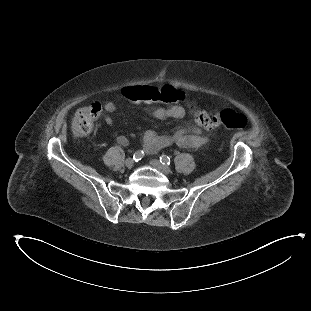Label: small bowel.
<instances>
[{"instance_id":"obj_1","label":"small bowel","mask_w":311,"mask_h":311,"mask_svg":"<svg viewBox=\"0 0 311 311\" xmlns=\"http://www.w3.org/2000/svg\"><path fill=\"white\" fill-rule=\"evenodd\" d=\"M118 108V105L111 101L104 104V109L108 113L115 112ZM148 112L156 119H181L186 114L185 109L180 105H173L168 108L150 107ZM105 122L109 126L114 125V120L110 116H105ZM206 141L207 138L199 123L185 126L178 130L173 136L159 135L154 131H147L143 136V146L145 151L149 154L156 153L160 149L174 143L188 148H200ZM118 143L123 146L127 145V138L125 136H119Z\"/></svg>"}]
</instances>
